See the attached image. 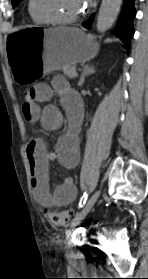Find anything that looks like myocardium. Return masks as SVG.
<instances>
[{"label": "myocardium", "instance_id": "obj_1", "mask_svg": "<svg viewBox=\"0 0 148 279\" xmlns=\"http://www.w3.org/2000/svg\"><path fill=\"white\" fill-rule=\"evenodd\" d=\"M30 9L32 14L41 21L45 23L57 24V25H69L80 21L83 18L84 13L81 12L71 18H57L49 15L42 14L37 9V0H30Z\"/></svg>", "mask_w": 148, "mask_h": 279}]
</instances>
